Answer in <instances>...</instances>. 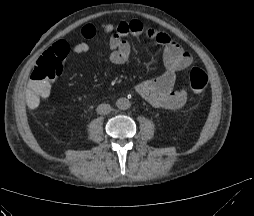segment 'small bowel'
<instances>
[{"instance_id":"c3829d8e","label":"small bowel","mask_w":254,"mask_h":216,"mask_svg":"<svg viewBox=\"0 0 254 216\" xmlns=\"http://www.w3.org/2000/svg\"><path fill=\"white\" fill-rule=\"evenodd\" d=\"M98 29L94 24H85L81 34L85 39H93L97 36ZM102 33L109 37L110 63L114 65L124 64L131 53V46L127 40L131 35H145L156 41L163 47V60L166 70L155 80H146L136 86V92L151 105L164 109H178L187 102L188 94L185 89L176 87V73L187 68L192 63L191 54L179 45L167 33L152 27L144 26L138 20L121 21L117 24L106 23L102 27ZM66 47L61 49L60 45ZM90 46L87 42L70 45L66 41H59L47 51H62L67 57L70 53H87ZM49 92L48 97L50 96Z\"/></svg>"}]
</instances>
